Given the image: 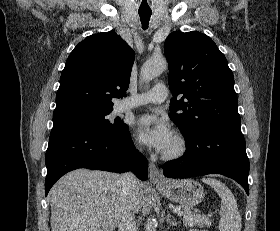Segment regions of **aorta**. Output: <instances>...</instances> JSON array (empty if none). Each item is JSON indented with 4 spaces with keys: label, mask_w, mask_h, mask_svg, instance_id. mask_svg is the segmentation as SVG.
<instances>
[{
    "label": "aorta",
    "mask_w": 280,
    "mask_h": 231,
    "mask_svg": "<svg viewBox=\"0 0 280 231\" xmlns=\"http://www.w3.org/2000/svg\"><path fill=\"white\" fill-rule=\"evenodd\" d=\"M165 70H167V62L164 58H160V60H147L141 68V80L143 82H150V80H154V78L160 76ZM156 227L157 221L155 217H148L145 231H156Z\"/></svg>",
    "instance_id": "762f6f07"
}]
</instances>
